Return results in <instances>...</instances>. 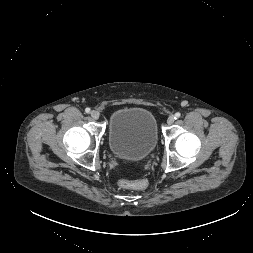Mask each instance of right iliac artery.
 Segmentation results:
<instances>
[{
    "label": "right iliac artery",
    "mask_w": 253,
    "mask_h": 253,
    "mask_svg": "<svg viewBox=\"0 0 253 253\" xmlns=\"http://www.w3.org/2000/svg\"><path fill=\"white\" fill-rule=\"evenodd\" d=\"M85 112H86V113H90V108H86V109H85Z\"/></svg>",
    "instance_id": "82829eb1"
}]
</instances>
